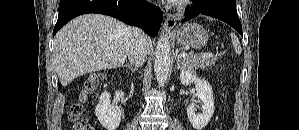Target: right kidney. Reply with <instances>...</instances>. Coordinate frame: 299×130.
Returning a JSON list of instances; mask_svg holds the SVG:
<instances>
[{
	"label": "right kidney",
	"instance_id": "right-kidney-1",
	"mask_svg": "<svg viewBox=\"0 0 299 130\" xmlns=\"http://www.w3.org/2000/svg\"><path fill=\"white\" fill-rule=\"evenodd\" d=\"M95 115L107 130H116L120 124L122 112L117 105L110 103V93L105 91L95 107Z\"/></svg>",
	"mask_w": 299,
	"mask_h": 130
}]
</instances>
